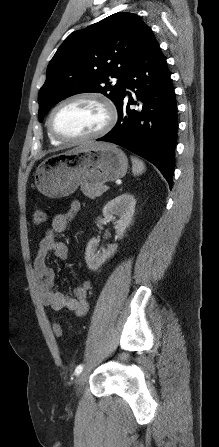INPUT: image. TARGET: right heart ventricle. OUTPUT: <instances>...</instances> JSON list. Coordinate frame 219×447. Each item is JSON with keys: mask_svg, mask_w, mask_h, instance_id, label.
I'll return each mask as SVG.
<instances>
[{"mask_svg": "<svg viewBox=\"0 0 219 447\" xmlns=\"http://www.w3.org/2000/svg\"><path fill=\"white\" fill-rule=\"evenodd\" d=\"M48 135H49L50 141H51L53 144H55V145L60 144V141L57 140V139H55L53 136H51L49 132H48Z\"/></svg>", "mask_w": 219, "mask_h": 447, "instance_id": "e07e8e85", "label": "right heart ventricle"}]
</instances>
